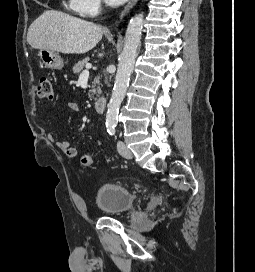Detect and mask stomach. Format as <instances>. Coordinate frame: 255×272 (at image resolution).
Listing matches in <instances>:
<instances>
[{
  "instance_id": "0dacf381",
  "label": "stomach",
  "mask_w": 255,
  "mask_h": 272,
  "mask_svg": "<svg viewBox=\"0 0 255 272\" xmlns=\"http://www.w3.org/2000/svg\"><path fill=\"white\" fill-rule=\"evenodd\" d=\"M38 55L46 68L60 70L64 66L63 59L58 52L40 49Z\"/></svg>"
}]
</instances>
